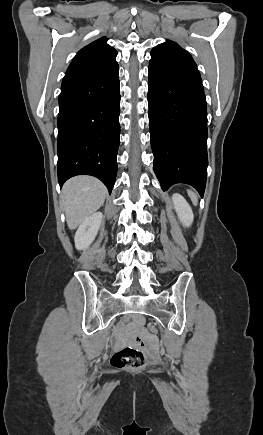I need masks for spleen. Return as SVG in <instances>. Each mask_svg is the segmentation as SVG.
Here are the masks:
<instances>
[{
  "mask_svg": "<svg viewBox=\"0 0 263 435\" xmlns=\"http://www.w3.org/2000/svg\"><path fill=\"white\" fill-rule=\"evenodd\" d=\"M188 195L190 196L193 204L197 205V203H198V197H197L196 193L193 192L192 190H188Z\"/></svg>",
  "mask_w": 263,
  "mask_h": 435,
  "instance_id": "obj_1",
  "label": "spleen"
}]
</instances>
